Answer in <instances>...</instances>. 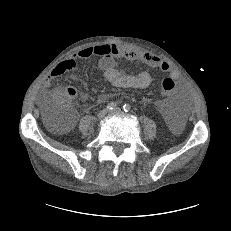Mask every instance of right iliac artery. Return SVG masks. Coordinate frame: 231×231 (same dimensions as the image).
<instances>
[{"mask_svg": "<svg viewBox=\"0 0 231 231\" xmlns=\"http://www.w3.org/2000/svg\"><path fill=\"white\" fill-rule=\"evenodd\" d=\"M116 106H117L116 102H110V103H108V105H107V109H108V110H113V109L116 108Z\"/></svg>", "mask_w": 231, "mask_h": 231, "instance_id": "82829eb1", "label": "right iliac artery"}]
</instances>
